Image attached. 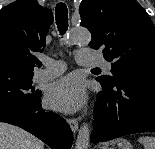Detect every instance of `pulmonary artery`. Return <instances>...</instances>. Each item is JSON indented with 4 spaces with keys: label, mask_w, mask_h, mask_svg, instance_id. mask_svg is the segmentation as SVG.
Masks as SVG:
<instances>
[{
    "label": "pulmonary artery",
    "mask_w": 155,
    "mask_h": 149,
    "mask_svg": "<svg viewBox=\"0 0 155 149\" xmlns=\"http://www.w3.org/2000/svg\"><path fill=\"white\" fill-rule=\"evenodd\" d=\"M77 63L84 66H103L105 69L110 70L111 65L105 61L100 55L90 49H79L77 51ZM44 69L36 74V78L40 81L50 80L59 76L65 71V63L50 58H43Z\"/></svg>",
    "instance_id": "1"
}]
</instances>
